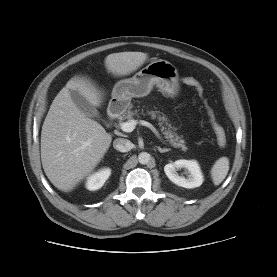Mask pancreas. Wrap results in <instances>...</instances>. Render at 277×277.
Returning <instances> with one entry per match:
<instances>
[{"instance_id":"1","label":"pancreas","mask_w":277,"mask_h":277,"mask_svg":"<svg viewBox=\"0 0 277 277\" xmlns=\"http://www.w3.org/2000/svg\"><path fill=\"white\" fill-rule=\"evenodd\" d=\"M132 106L120 117V122L122 120H132L133 116L137 114V110H131ZM149 115H151L152 119H157L159 120V125L161 126V131L164 134V137L169 141V143L175 147V148H181L183 151L187 150V147L185 145V141L182 139V137L178 136L174 130L171 127V124L168 123V119L164 114H160L159 111H149ZM167 127H165V126Z\"/></svg>"}]
</instances>
